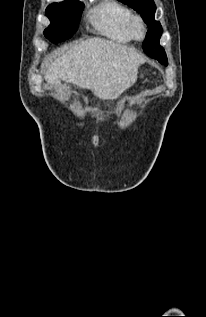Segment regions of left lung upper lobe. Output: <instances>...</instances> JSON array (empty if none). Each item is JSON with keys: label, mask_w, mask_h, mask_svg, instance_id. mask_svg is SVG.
<instances>
[{"label": "left lung upper lobe", "mask_w": 206, "mask_h": 317, "mask_svg": "<svg viewBox=\"0 0 206 317\" xmlns=\"http://www.w3.org/2000/svg\"><path fill=\"white\" fill-rule=\"evenodd\" d=\"M124 4H127L138 13L141 14L145 23H147L148 31L146 34V39L143 43L144 52L149 55L146 47L151 48L152 44L159 43L162 27L160 22L155 20V11L156 6L153 0H118ZM155 52L158 54V58H156L160 63L167 65V57L163 48L156 49Z\"/></svg>", "instance_id": "1"}]
</instances>
